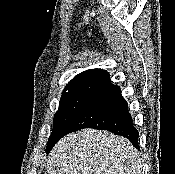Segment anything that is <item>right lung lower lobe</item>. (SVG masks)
Listing matches in <instances>:
<instances>
[{"instance_id":"1","label":"right lung lower lobe","mask_w":175,"mask_h":174,"mask_svg":"<svg viewBox=\"0 0 175 174\" xmlns=\"http://www.w3.org/2000/svg\"><path fill=\"white\" fill-rule=\"evenodd\" d=\"M84 128L109 130L126 137L134 147L139 149V133L133 126L128 104L121 95L120 87L113 85L109 79L88 95L63 136ZM55 144L47 147V153Z\"/></svg>"}]
</instances>
